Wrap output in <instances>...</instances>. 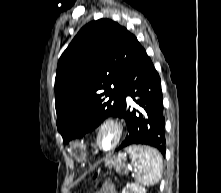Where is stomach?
Returning <instances> with one entry per match:
<instances>
[{
    "label": "stomach",
    "instance_id": "0dacf381",
    "mask_svg": "<svg viewBox=\"0 0 221 193\" xmlns=\"http://www.w3.org/2000/svg\"><path fill=\"white\" fill-rule=\"evenodd\" d=\"M80 147L81 142H74V147H72V150H69V155H75L76 159H85L86 155H88V150H80Z\"/></svg>",
    "mask_w": 221,
    "mask_h": 193
}]
</instances>
